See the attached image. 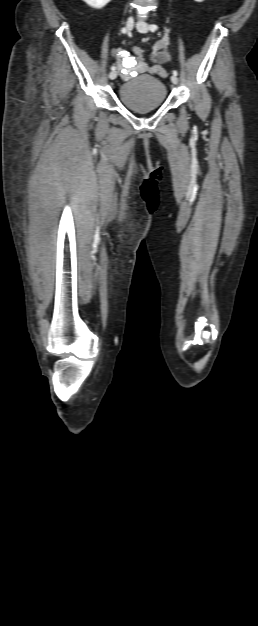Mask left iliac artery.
Returning a JSON list of instances; mask_svg holds the SVG:
<instances>
[{"mask_svg":"<svg viewBox=\"0 0 258 626\" xmlns=\"http://www.w3.org/2000/svg\"><path fill=\"white\" fill-rule=\"evenodd\" d=\"M149 29H150V31L154 32V31H156L158 29V26L155 25V24H151V25H149ZM173 75L177 76L178 72L176 70H174L173 71Z\"/></svg>","mask_w":258,"mask_h":626,"instance_id":"1","label":"left iliac artery"}]
</instances>
